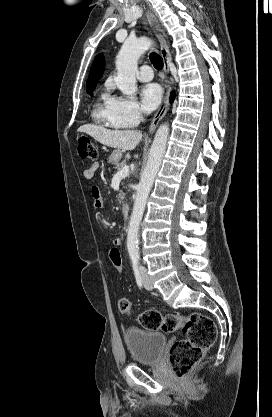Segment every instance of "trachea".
Masks as SVG:
<instances>
[{"label":"trachea","mask_w":272,"mask_h":417,"mask_svg":"<svg viewBox=\"0 0 272 417\" xmlns=\"http://www.w3.org/2000/svg\"><path fill=\"white\" fill-rule=\"evenodd\" d=\"M149 58H150V60H151V62L153 64V66L157 70H161L163 68V59H162V57L159 54H157L155 52H152V53H150V57Z\"/></svg>","instance_id":"obj_1"}]
</instances>
